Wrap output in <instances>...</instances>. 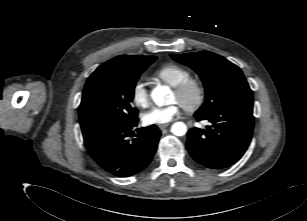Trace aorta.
Masks as SVG:
<instances>
[{"instance_id": "1", "label": "aorta", "mask_w": 307, "mask_h": 221, "mask_svg": "<svg viewBox=\"0 0 307 221\" xmlns=\"http://www.w3.org/2000/svg\"><path fill=\"white\" fill-rule=\"evenodd\" d=\"M170 89L168 86H157L151 92L154 103L161 107L169 103ZM171 132L176 136H183L187 132V127L182 122H176L171 127Z\"/></svg>"}]
</instances>
